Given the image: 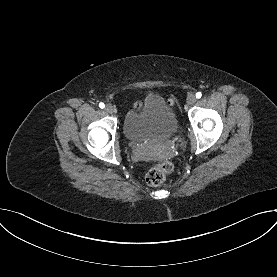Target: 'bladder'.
<instances>
[{
  "instance_id": "obj_1",
  "label": "bladder",
  "mask_w": 277,
  "mask_h": 277,
  "mask_svg": "<svg viewBox=\"0 0 277 277\" xmlns=\"http://www.w3.org/2000/svg\"><path fill=\"white\" fill-rule=\"evenodd\" d=\"M179 122L173 108L158 94L147 95L124 118L126 138L135 143L162 141L173 136Z\"/></svg>"
}]
</instances>
